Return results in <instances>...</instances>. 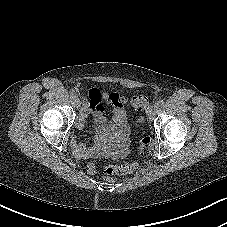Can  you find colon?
Instances as JSON below:
<instances>
[{"instance_id": "obj_1", "label": "colon", "mask_w": 227, "mask_h": 227, "mask_svg": "<svg viewBox=\"0 0 227 227\" xmlns=\"http://www.w3.org/2000/svg\"><path fill=\"white\" fill-rule=\"evenodd\" d=\"M128 103L132 108L136 109L137 111H143L148 107L149 99L144 95H136L133 96ZM142 123H143L142 117H138L135 120L136 127H141ZM149 143L150 138L144 135L138 142L137 155H142L144 149L147 147ZM138 166H139L138 161L134 160L131 163L125 165L108 164L105 166L104 171L108 179H113L115 176L128 175L133 173L138 168ZM94 170H95L94 165L89 164L88 171L90 173H93Z\"/></svg>"}]
</instances>
